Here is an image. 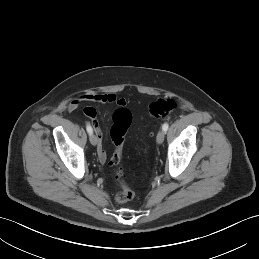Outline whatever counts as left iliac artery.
<instances>
[{
    "label": "left iliac artery",
    "instance_id": "1",
    "mask_svg": "<svg viewBox=\"0 0 259 259\" xmlns=\"http://www.w3.org/2000/svg\"><path fill=\"white\" fill-rule=\"evenodd\" d=\"M168 127H169L168 123H164L163 126H162V130L164 132H166L168 130Z\"/></svg>",
    "mask_w": 259,
    "mask_h": 259
}]
</instances>
